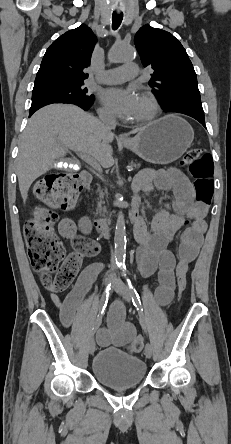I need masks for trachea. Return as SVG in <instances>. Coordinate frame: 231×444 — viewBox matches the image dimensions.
Segmentation results:
<instances>
[{
  "label": "trachea",
  "instance_id": "3493384b",
  "mask_svg": "<svg viewBox=\"0 0 231 444\" xmlns=\"http://www.w3.org/2000/svg\"><path fill=\"white\" fill-rule=\"evenodd\" d=\"M122 20H123V13H117V12L114 11L113 15H112V28H113V30H116L120 26Z\"/></svg>",
  "mask_w": 231,
  "mask_h": 444
}]
</instances>
